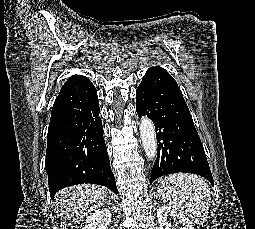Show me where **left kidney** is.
Returning a JSON list of instances; mask_svg holds the SVG:
<instances>
[{
  "label": "left kidney",
  "mask_w": 255,
  "mask_h": 229,
  "mask_svg": "<svg viewBox=\"0 0 255 229\" xmlns=\"http://www.w3.org/2000/svg\"><path fill=\"white\" fill-rule=\"evenodd\" d=\"M169 217L180 224L179 229H195L192 222L183 213L177 212L166 205H162L157 209L159 229L173 228V225L169 221Z\"/></svg>",
  "instance_id": "left-kidney-1"
}]
</instances>
